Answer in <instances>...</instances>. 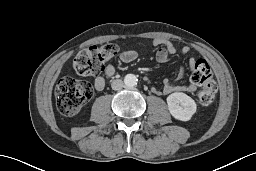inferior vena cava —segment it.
Segmentation results:
<instances>
[{
	"instance_id": "602c4592",
	"label": "inferior vena cava",
	"mask_w": 256,
	"mask_h": 171,
	"mask_svg": "<svg viewBox=\"0 0 256 171\" xmlns=\"http://www.w3.org/2000/svg\"><path fill=\"white\" fill-rule=\"evenodd\" d=\"M111 87L113 90H121L124 87V83L121 79L112 81Z\"/></svg>"
}]
</instances>
